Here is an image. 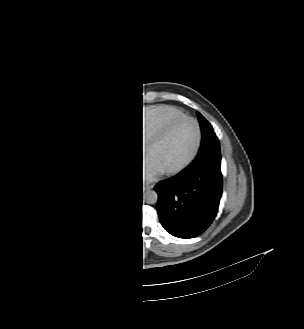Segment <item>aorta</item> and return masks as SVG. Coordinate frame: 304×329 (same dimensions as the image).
<instances>
[{
	"mask_svg": "<svg viewBox=\"0 0 304 329\" xmlns=\"http://www.w3.org/2000/svg\"><path fill=\"white\" fill-rule=\"evenodd\" d=\"M144 201L148 204H155L158 200V194L154 190H148L143 195Z\"/></svg>",
	"mask_w": 304,
	"mask_h": 329,
	"instance_id": "762f6f07",
	"label": "aorta"
}]
</instances>
